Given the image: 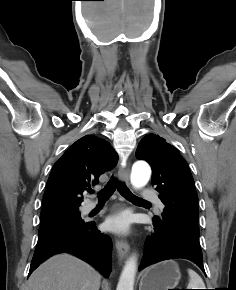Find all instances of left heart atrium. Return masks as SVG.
I'll use <instances>...</instances> for the list:
<instances>
[{"label": "left heart atrium", "instance_id": "left-heart-atrium-1", "mask_svg": "<svg viewBox=\"0 0 236 290\" xmlns=\"http://www.w3.org/2000/svg\"><path fill=\"white\" fill-rule=\"evenodd\" d=\"M131 224L130 216L125 212H119L110 216L106 220V227L108 230L116 233H126L128 232Z\"/></svg>", "mask_w": 236, "mask_h": 290}]
</instances>
